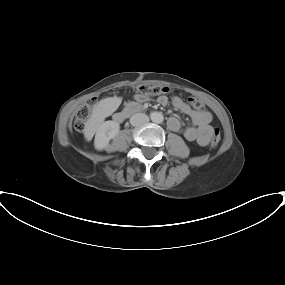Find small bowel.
Segmentation results:
<instances>
[{
	"instance_id": "small-bowel-1",
	"label": "small bowel",
	"mask_w": 285,
	"mask_h": 285,
	"mask_svg": "<svg viewBox=\"0 0 285 285\" xmlns=\"http://www.w3.org/2000/svg\"><path fill=\"white\" fill-rule=\"evenodd\" d=\"M146 100H148V97H143L137 94L134 97V102L130 104L143 103ZM158 101L160 104L164 105L167 103V98L161 96L159 97ZM172 104L176 109L187 115L193 123V126L187 127L184 130L183 135L185 139L189 142H197L201 146L208 145L211 141V113L208 111L194 110L179 97H174ZM168 127L170 130L178 132L181 129V123L178 118L171 117L168 120Z\"/></svg>"
}]
</instances>
